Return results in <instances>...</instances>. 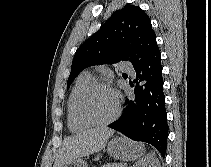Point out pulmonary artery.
<instances>
[{
	"mask_svg": "<svg viewBox=\"0 0 211 167\" xmlns=\"http://www.w3.org/2000/svg\"><path fill=\"white\" fill-rule=\"evenodd\" d=\"M121 67L125 70H128V71L131 70L129 64L125 61L121 62Z\"/></svg>",
	"mask_w": 211,
	"mask_h": 167,
	"instance_id": "1",
	"label": "pulmonary artery"
}]
</instances>
